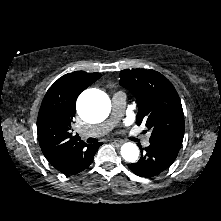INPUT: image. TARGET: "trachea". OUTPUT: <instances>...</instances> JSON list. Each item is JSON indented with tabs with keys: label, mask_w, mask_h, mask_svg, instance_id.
I'll list each match as a JSON object with an SVG mask.
<instances>
[{
	"label": "trachea",
	"mask_w": 221,
	"mask_h": 221,
	"mask_svg": "<svg viewBox=\"0 0 221 221\" xmlns=\"http://www.w3.org/2000/svg\"><path fill=\"white\" fill-rule=\"evenodd\" d=\"M87 142H88V143H94V142H95V139H93V138H88V139H87Z\"/></svg>",
	"instance_id": "trachea-1"
}]
</instances>
